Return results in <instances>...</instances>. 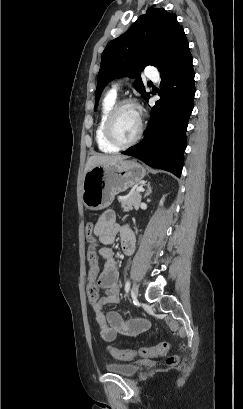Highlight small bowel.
<instances>
[{"label": "small bowel", "mask_w": 243, "mask_h": 409, "mask_svg": "<svg viewBox=\"0 0 243 409\" xmlns=\"http://www.w3.org/2000/svg\"><path fill=\"white\" fill-rule=\"evenodd\" d=\"M94 235L98 238L99 247L93 259L88 258L90 269L88 273V286H95L97 289H104L105 294L92 305L93 315L101 338L106 342L116 339L118 333L135 337L146 331L149 321L146 319H135L126 322L117 311L104 312V306L119 302L120 284L119 271L114 259L111 245L119 233L123 251L130 255L135 246V235L132 229L126 224H119L115 212H104L94 226ZM102 258L104 265L99 272L98 260Z\"/></svg>", "instance_id": "1"}]
</instances>
